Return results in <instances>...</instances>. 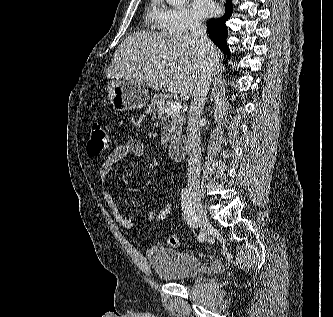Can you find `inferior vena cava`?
Returning <instances> with one entry per match:
<instances>
[{"label":"inferior vena cava","instance_id":"inferior-vena-cava-1","mask_svg":"<svg viewBox=\"0 0 333 317\" xmlns=\"http://www.w3.org/2000/svg\"><path fill=\"white\" fill-rule=\"evenodd\" d=\"M193 40L207 54L204 70L198 76L192 91L188 117V186L199 189L201 174V140L199 121L205 105V99L212 81L215 59L210 49L207 29L200 22H193L190 27Z\"/></svg>","mask_w":333,"mask_h":317}]
</instances>
